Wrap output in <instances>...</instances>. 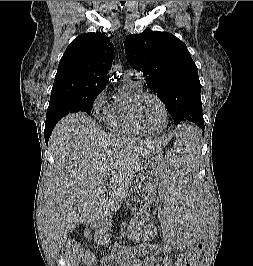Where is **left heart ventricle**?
Segmentation results:
<instances>
[{"mask_svg":"<svg viewBox=\"0 0 253 266\" xmlns=\"http://www.w3.org/2000/svg\"><path fill=\"white\" fill-rule=\"evenodd\" d=\"M139 118L141 124L148 130L158 131L165 123L163 109L159 102L152 98H145L139 107Z\"/></svg>","mask_w":253,"mask_h":266,"instance_id":"1","label":"left heart ventricle"}]
</instances>
